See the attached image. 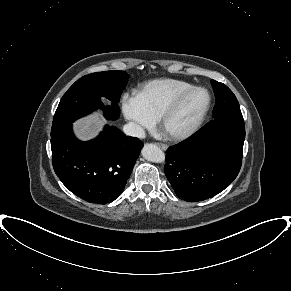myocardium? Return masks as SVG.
Here are the masks:
<instances>
[{"label":"myocardium","mask_w":291,"mask_h":291,"mask_svg":"<svg viewBox=\"0 0 291 291\" xmlns=\"http://www.w3.org/2000/svg\"><path fill=\"white\" fill-rule=\"evenodd\" d=\"M203 90L207 94V102L197 119L189 126L187 129L180 132H170L167 129V123L170 117L176 112V110L180 107L183 101L194 91ZM212 103V97L210 91L203 86H192L181 93H179L173 100L165 107L162 113L159 116V128L162 134L173 141L184 140L190 136H192L202 125L204 122Z\"/></svg>","instance_id":"1"}]
</instances>
